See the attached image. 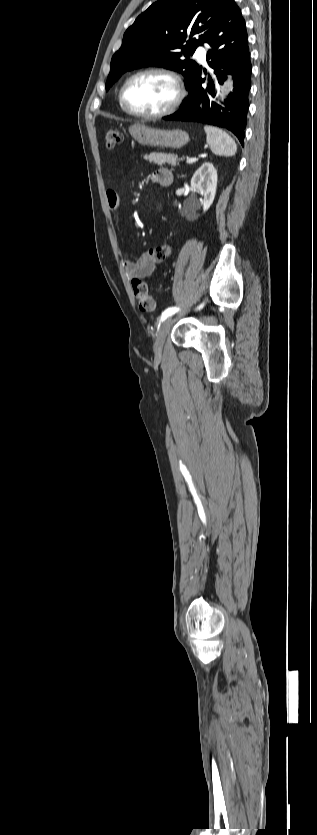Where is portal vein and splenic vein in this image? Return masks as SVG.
<instances>
[{
	"mask_svg": "<svg viewBox=\"0 0 317 835\" xmlns=\"http://www.w3.org/2000/svg\"><path fill=\"white\" fill-rule=\"evenodd\" d=\"M196 160H197L196 158H188L187 159L188 162H193V161H196Z\"/></svg>",
	"mask_w": 317,
	"mask_h": 835,
	"instance_id": "portal-vein-and-splenic-vein-1",
	"label": "portal vein and splenic vein"
}]
</instances>
